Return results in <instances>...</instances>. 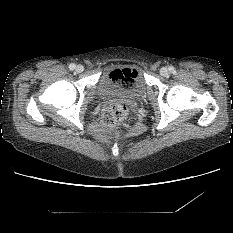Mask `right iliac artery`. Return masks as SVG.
Segmentation results:
<instances>
[{
	"label": "right iliac artery",
	"instance_id": "obj_1",
	"mask_svg": "<svg viewBox=\"0 0 233 233\" xmlns=\"http://www.w3.org/2000/svg\"><path fill=\"white\" fill-rule=\"evenodd\" d=\"M75 67H76V66H75V64H74V63H71V64L69 65V69H70V70H74V69H75Z\"/></svg>",
	"mask_w": 233,
	"mask_h": 233
}]
</instances>
